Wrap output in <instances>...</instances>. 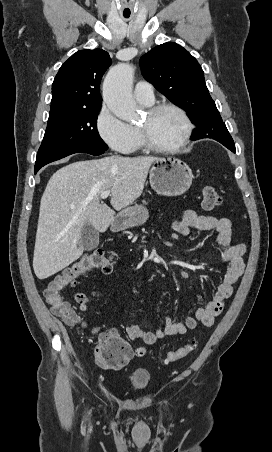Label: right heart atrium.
Instances as JSON below:
<instances>
[{"instance_id":"d8ad5b80","label":"right heart atrium","mask_w":272,"mask_h":452,"mask_svg":"<svg viewBox=\"0 0 272 452\" xmlns=\"http://www.w3.org/2000/svg\"><path fill=\"white\" fill-rule=\"evenodd\" d=\"M95 128L102 139L115 151L129 153L134 139L133 128L116 117L111 110L103 104L95 118Z\"/></svg>"}]
</instances>
